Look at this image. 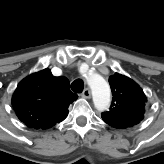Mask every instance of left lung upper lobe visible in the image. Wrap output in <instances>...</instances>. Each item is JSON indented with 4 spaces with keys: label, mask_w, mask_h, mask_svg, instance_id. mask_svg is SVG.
<instances>
[{
    "label": "left lung upper lobe",
    "mask_w": 164,
    "mask_h": 164,
    "mask_svg": "<svg viewBox=\"0 0 164 164\" xmlns=\"http://www.w3.org/2000/svg\"><path fill=\"white\" fill-rule=\"evenodd\" d=\"M113 98L110 110L101 114L113 127L126 128L140 122L144 113L145 94L130 78L115 73L109 78Z\"/></svg>",
    "instance_id": "5c2ea615"
}]
</instances>
